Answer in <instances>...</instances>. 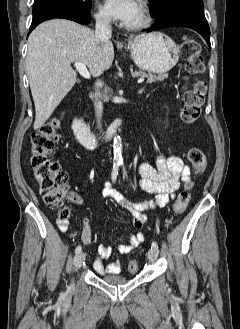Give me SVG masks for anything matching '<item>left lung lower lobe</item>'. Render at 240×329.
I'll return each instance as SVG.
<instances>
[{"mask_svg":"<svg viewBox=\"0 0 240 329\" xmlns=\"http://www.w3.org/2000/svg\"><path fill=\"white\" fill-rule=\"evenodd\" d=\"M167 27H188L200 33L210 44V29L204 15V8L195 6H177L166 11L147 29L148 32Z\"/></svg>","mask_w":240,"mask_h":329,"instance_id":"1","label":"left lung lower lobe"}]
</instances>
